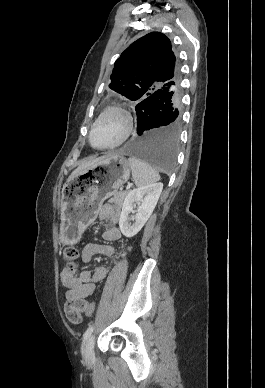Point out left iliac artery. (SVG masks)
I'll list each match as a JSON object with an SVG mask.
<instances>
[{"instance_id":"44dca946","label":"left iliac artery","mask_w":265,"mask_h":388,"mask_svg":"<svg viewBox=\"0 0 265 388\" xmlns=\"http://www.w3.org/2000/svg\"><path fill=\"white\" fill-rule=\"evenodd\" d=\"M94 330V326H90L84 333L83 335V344H82V350H83V345L85 343V341L87 340V338L91 335V333L93 332Z\"/></svg>"}]
</instances>
